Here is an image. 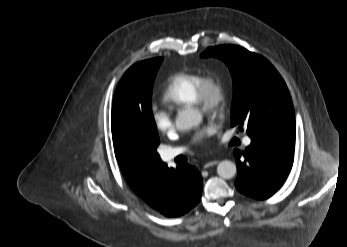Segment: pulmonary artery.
Here are the masks:
<instances>
[{"mask_svg":"<svg viewBox=\"0 0 347 247\" xmlns=\"http://www.w3.org/2000/svg\"><path fill=\"white\" fill-rule=\"evenodd\" d=\"M244 145L245 146H249L251 143V139L249 137H245L244 140ZM183 152V148H172V149H167L164 152V158L166 160H172L174 159L176 156L180 155Z\"/></svg>","mask_w":347,"mask_h":247,"instance_id":"pulmonary-artery-1","label":"pulmonary artery"}]
</instances>
